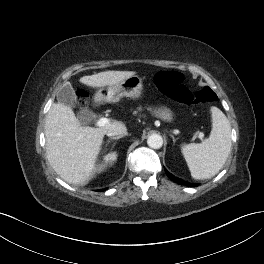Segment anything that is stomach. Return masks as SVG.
Listing matches in <instances>:
<instances>
[{
    "label": "stomach",
    "instance_id": "1",
    "mask_svg": "<svg viewBox=\"0 0 264 264\" xmlns=\"http://www.w3.org/2000/svg\"><path fill=\"white\" fill-rule=\"evenodd\" d=\"M142 89V79L137 75H133L115 85L100 89L96 93L95 99L98 102H118L123 96L138 99L142 94ZM150 111L154 116L165 122L173 120V113L165 106L150 108Z\"/></svg>",
    "mask_w": 264,
    "mask_h": 264
}]
</instances>
